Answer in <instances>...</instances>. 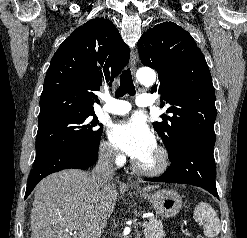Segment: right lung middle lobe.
I'll return each instance as SVG.
<instances>
[{
    "instance_id": "1",
    "label": "right lung middle lobe",
    "mask_w": 247,
    "mask_h": 238,
    "mask_svg": "<svg viewBox=\"0 0 247 238\" xmlns=\"http://www.w3.org/2000/svg\"><path fill=\"white\" fill-rule=\"evenodd\" d=\"M92 114L63 116L38 122L36 158L62 148L94 150L99 146L103 132Z\"/></svg>"
}]
</instances>
